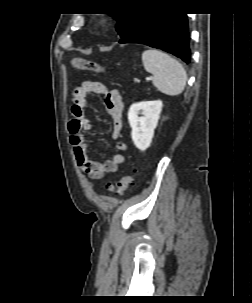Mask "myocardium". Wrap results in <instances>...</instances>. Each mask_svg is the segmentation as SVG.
I'll list each match as a JSON object with an SVG mask.
<instances>
[{"mask_svg":"<svg viewBox=\"0 0 252 303\" xmlns=\"http://www.w3.org/2000/svg\"><path fill=\"white\" fill-rule=\"evenodd\" d=\"M107 23V19L103 17H99L96 19V24L99 26H104Z\"/></svg>","mask_w":252,"mask_h":303,"instance_id":"obj_1","label":"myocardium"}]
</instances>
